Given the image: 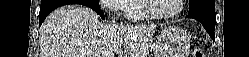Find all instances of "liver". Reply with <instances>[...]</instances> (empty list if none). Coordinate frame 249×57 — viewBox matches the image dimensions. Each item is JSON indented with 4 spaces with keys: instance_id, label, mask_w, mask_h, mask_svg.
I'll return each mask as SVG.
<instances>
[{
    "instance_id": "1",
    "label": "liver",
    "mask_w": 249,
    "mask_h": 57,
    "mask_svg": "<svg viewBox=\"0 0 249 57\" xmlns=\"http://www.w3.org/2000/svg\"><path fill=\"white\" fill-rule=\"evenodd\" d=\"M155 27L102 24L99 15L80 5L53 11L40 29V57H147ZM113 55V56H108Z\"/></svg>"
}]
</instances>
